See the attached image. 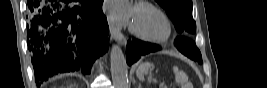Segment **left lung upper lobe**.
Instances as JSON below:
<instances>
[{
  "instance_id": "1",
  "label": "left lung upper lobe",
  "mask_w": 267,
  "mask_h": 88,
  "mask_svg": "<svg viewBox=\"0 0 267 88\" xmlns=\"http://www.w3.org/2000/svg\"><path fill=\"white\" fill-rule=\"evenodd\" d=\"M167 12L176 30L194 33L196 22L192 17V0H156Z\"/></svg>"
}]
</instances>
